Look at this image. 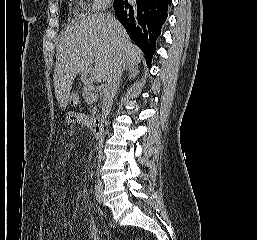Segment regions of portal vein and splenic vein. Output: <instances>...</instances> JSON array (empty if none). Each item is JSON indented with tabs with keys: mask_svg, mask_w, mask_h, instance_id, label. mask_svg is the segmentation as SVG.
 I'll return each instance as SVG.
<instances>
[{
	"mask_svg": "<svg viewBox=\"0 0 257 240\" xmlns=\"http://www.w3.org/2000/svg\"><path fill=\"white\" fill-rule=\"evenodd\" d=\"M91 97H92L93 99L96 98V97H94L93 95H92Z\"/></svg>",
	"mask_w": 257,
	"mask_h": 240,
	"instance_id": "portal-vein-and-splenic-vein-1",
	"label": "portal vein and splenic vein"
}]
</instances>
